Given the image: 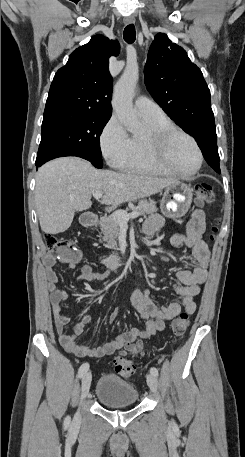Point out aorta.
Masks as SVG:
<instances>
[{
	"label": "aorta",
	"mask_w": 245,
	"mask_h": 457,
	"mask_svg": "<svg viewBox=\"0 0 245 457\" xmlns=\"http://www.w3.org/2000/svg\"><path fill=\"white\" fill-rule=\"evenodd\" d=\"M137 81L138 69L131 66L126 67L115 85L112 99V106L118 119L128 131L133 133L142 130V125L132 104Z\"/></svg>",
	"instance_id": "obj_1"
}]
</instances>
